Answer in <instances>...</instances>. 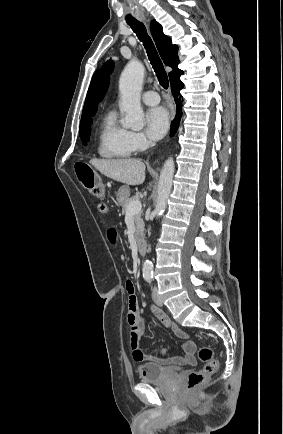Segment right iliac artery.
<instances>
[{
    "instance_id": "right-iliac-artery-1",
    "label": "right iliac artery",
    "mask_w": 283,
    "mask_h": 434,
    "mask_svg": "<svg viewBox=\"0 0 283 434\" xmlns=\"http://www.w3.org/2000/svg\"><path fill=\"white\" fill-rule=\"evenodd\" d=\"M146 280L150 281V280H151V278H150V277H146Z\"/></svg>"
}]
</instances>
